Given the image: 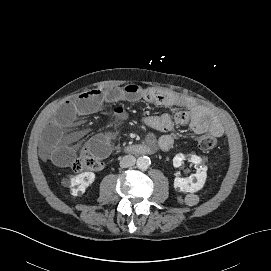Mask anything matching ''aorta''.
I'll return each instance as SVG.
<instances>
[{"label": "aorta", "instance_id": "1", "mask_svg": "<svg viewBox=\"0 0 271 271\" xmlns=\"http://www.w3.org/2000/svg\"><path fill=\"white\" fill-rule=\"evenodd\" d=\"M151 164V160L147 156H141L137 159V167L140 170H147Z\"/></svg>", "mask_w": 271, "mask_h": 271}]
</instances>
